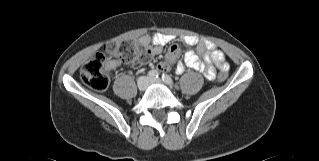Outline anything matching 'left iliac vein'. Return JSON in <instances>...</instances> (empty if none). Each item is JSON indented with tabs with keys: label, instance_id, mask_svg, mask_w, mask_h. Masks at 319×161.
Here are the masks:
<instances>
[{
	"label": "left iliac vein",
	"instance_id": "left-iliac-vein-1",
	"mask_svg": "<svg viewBox=\"0 0 319 161\" xmlns=\"http://www.w3.org/2000/svg\"><path fill=\"white\" fill-rule=\"evenodd\" d=\"M150 83L151 84H154V83H159L160 84V83H162V81L160 79H151Z\"/></svg>",
	"mask_w": 319,
	"mask_h": 161
}]
</instances>
